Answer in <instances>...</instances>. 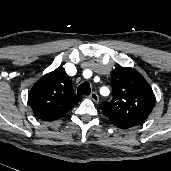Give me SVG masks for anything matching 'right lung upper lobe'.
Wrapping results in <instances>:
<instances>
[{"mask_svg": "<svg viewBox=\"0 0 171 171\" xmlns=\"http://www.w3.org/2000/svg\"><path fill=\"white\" fill-rule=\"evenodd\" d=\"M81 100L80 96L75 95L62 66L39 79L29 94L33 113L43 121L62 117Z\"/></svg>", "mask_w": 171, "mask_h": 171, "instance_id": "1", "label": "right lung upper lobe"}]
</instances>
